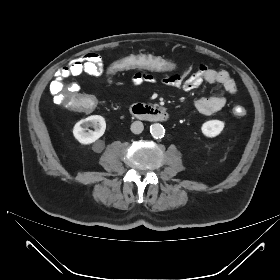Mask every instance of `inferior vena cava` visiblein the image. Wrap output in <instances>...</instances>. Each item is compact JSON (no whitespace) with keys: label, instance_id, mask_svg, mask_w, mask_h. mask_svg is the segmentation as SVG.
Instances as JSON below:
<instances>
[{"label":"inferior vena cava","instance_id":"obj_1","mask_svg":"<svg viewBox=\"0 0 280 280\" xmlns=\"http://www.w3.org/2000/svg\"><path fill=\"white\" fill-rule=\"evenodd\" d=\"M144 129L143 123L141 121H135L131 124V131L134 134H140Z\"/></svg>","mask_w":280,"mask_h":280}]
</instances>
